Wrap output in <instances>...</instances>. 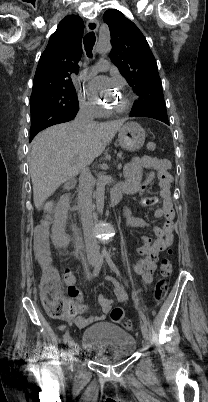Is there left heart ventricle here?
<instances>
[{
  "label": "left heart ventricle",
  "mask_w": 208,
  "mask_h": 402,
  "mask_svg": "<svg viewBox=\"0 0 208 402\" xmlns=\"http://www.w3.org/2000/svg\"><path fill=\"white\" fill-rule=\"evenodd\" d=\"M97 95H98V93H97L96 90L92 92L93 97L96 98ZM103 99L108 101V102H110V103H112V104H114V105L120 106L125 102L126 97H125L124 94H121L119 97L109 96V97H104Z\"/></svg>",
  "instance_id": "1"
}]
</instances>
